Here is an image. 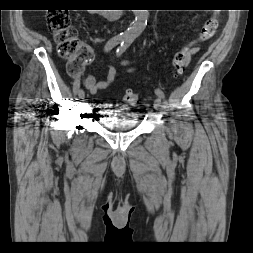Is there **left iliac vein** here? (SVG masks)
I'll list each match as a JSON object with an SVG mask.
<instances>
[{
	"label": "left iliac vein",
	"instance_id": "4c4485c4",
	"mask_svg": "<svg viewBox=\"0 0 253 253\" xmlns=\"http://www.w3.org/2000/svg\"><path fill=\"white\" fill-rule=\"evenodd\" d=\"M153 106H154L155 110H160L161 109L162 103H161V99L159 97L154 100Z\"/></svg>",
	"mask_w": 253,
	"mask_h": 253
}]
</instances>
